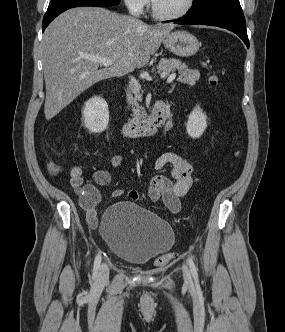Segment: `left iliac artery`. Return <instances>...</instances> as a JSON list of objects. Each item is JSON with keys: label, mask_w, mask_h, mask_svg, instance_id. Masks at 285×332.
Wrapping results in <instances>:
<instances>
[{"label": "left iliac artery", "mask_w": 285, "mask_h": 332, "mask_svg": "<svg viewBox=\"0 0 285 332\" xmlns=\"http://www.w3.org/2000/svg\"><path fill=\"white\" fill-rule=\"evenodd\" d=\"M188 263H189V267H190V270H191V273L193 275L194 280L198 281L197 267H196V265H195V263L193 261L192 256H189Z\"/></svg>", "instance_id": "left-iliac-artery-1"}]
</instances>
